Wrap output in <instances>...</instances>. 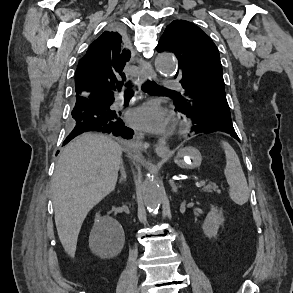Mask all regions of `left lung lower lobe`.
I'll return each instance as SVG.
<instances>
[{"label": "left lung lower lobe", "instance_id": "0a47b994", "mask_svg": "<svg viewBox=\"0 0 293 293\" xmlns=\"http://www.w3.org/2000/svg\"><path fill=\"white\" fill-rule=\"evenodd\" d=\"M176 109L180 112H185L180 107L176 106ZM185 113L187 115L192 116L190 113H187V112ZM192 117L195 119V123H196V125L192 128L195 134L209 133L212 131H223V132L229 133L232 137L240 141L234 130L232 123L221 122V121H215L212 123H203L202 121L197 120L194 116Z\"/></svg>", "mask_w": 293, "mask_h": 293}]
</instances>
